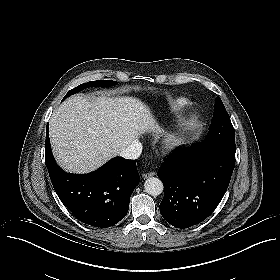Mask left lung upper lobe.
<instances>
[{"label": "left lung upper lobe", "mask_w": 280, "mask_h": 280, "mask_svg": "<svg viewBox=\"0 0 280 280\" xmlns=\"http://www.w3.org/2000/svg\"><path fill=\"white\" fill-rule=\"evenodd\" d=\"M199 144H213L235 148V132L230 117L219 96L215 99L214 116L208 136Z\"/></svg>", "instance_id": "obj_1"}]
</instances>
